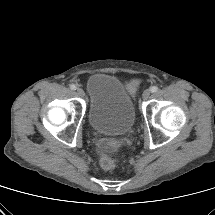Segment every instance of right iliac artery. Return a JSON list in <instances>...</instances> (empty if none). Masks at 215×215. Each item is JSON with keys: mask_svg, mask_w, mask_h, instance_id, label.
Returning a JSON list of instances; mask_svg holds the SVG:
<instances>
[{"mask_svg": "<svg viewBox=\"0 0 215 215\" xmlns=\"http://www.w3.org/2000/svg\"><path fill=\"white\" fill-rule=\"evenodd\" d=\"M70 89H71V90H76V85L71 84V85H70Z\"/></svg>", "mask_w": 215, "mask_h": 215, "instance_id": "right-iliac-artery-1", "label": "right iliac artery"}]
</instances>
